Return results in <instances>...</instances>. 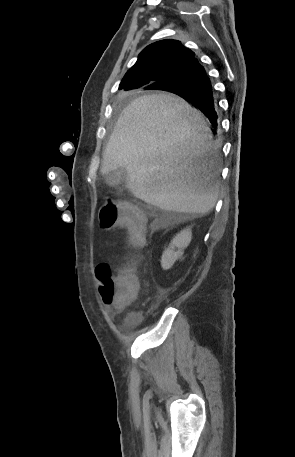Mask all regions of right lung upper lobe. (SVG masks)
<instances>
[{
  "label": "right lung upper lobe",
  "instance_id": "cb5924a9",
  "mask_svg": "<svg viewBox=\"0 0 295 457\" xmlns=\"http://www.w3.org/2000/svg\"><path fill=\"white\" fill-rule=\"evenodd\" d=\"M195 53L177 40H161L147 46L137 62L125 74L119 89L131 90L151 87L174 80L187 64L195 60Z\"/></svg>",
  "mask_w": 295,
  "mask_h": 457
}]
</instances>
